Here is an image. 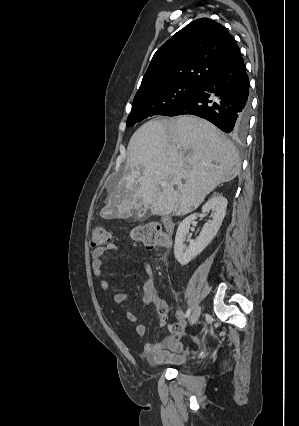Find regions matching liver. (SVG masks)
I'll return each mask as SVG.
<instances>
[{
    "mask_svg": "<svg viewBox=\"0 0 299 426\" xmlns=\"http://www.w3.org/2000/svg\"><path fill=\"white\" fill-rule=\"evenodd\" d=\"M127 154L125 172L100 212L105 219L124 218L143 205L153 215L188 214L241 166L232 142L190 115L146 122L132 135Z\"/></svg>",
    "mask_w": 299,
    "mask_h": 426,
    "instance_id": "6515ba94",
    "label": "liver"
}]
</instances>
